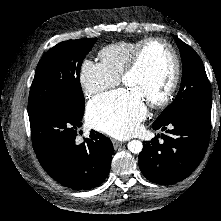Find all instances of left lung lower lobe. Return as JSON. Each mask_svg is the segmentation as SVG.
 Returning <instances> with one entry per match:
<instances>
[{
    "label": "left lung lower lobe",
    "instance_id": "1",
    "mask_svg": "<svg viewBox=\"0 0 221 221\" xmlns=\"http://www.w3.org/2000/svg\"><path fill=\"white\" fill-rule=\"evenodd\" d=\"M152 127L163 131L170 129L166 130L167 134L143 143L138 162L142 174L151 182L163 185L188 177L208 147L211 110L191 109L164 122L155 121Z\"/></svg>",
    "mask_w": 221,
    "mask_h": 221
}]
</instances>
